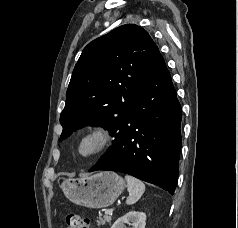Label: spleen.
<instances>
[{
	"instance_id": "1",
	"label": "spleen",
	"mask_w": 238,
	"mask_h": 228,
	"mask_svg": "<svg viewBox=\"0 0 238 228\" xmlns=\"http://www.w3.org/2000/svg\"><path fill=\"white\" fill-rule=\"evenodd\" d=\"M125 179L127 181V190L129 192V197L126 200V204L133 205L145 192V184L139 179L129 175H126Z\"/></svg>"
}]
</instances>
